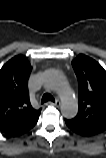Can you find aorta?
I'll return each mask as SVG.
<instances>
[{"label":"aorta","mask_w":106,"mask_h":158,"mask_svg":"<svg viewBox=\"0 0 106 158\" xmlns=\"http://www.w3.org/2000/svg\"><path fill=\"white\" fill-rule=\"evenodd\" d=\"M45 85L56 91L61 98V113L67 118H73L78 112L76 97L65 78L57 71L50 70L45 73Z\"/></svg>","instance_id":"762f6f07"}]
</instances>
